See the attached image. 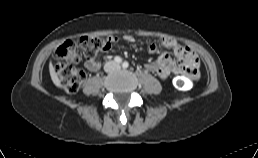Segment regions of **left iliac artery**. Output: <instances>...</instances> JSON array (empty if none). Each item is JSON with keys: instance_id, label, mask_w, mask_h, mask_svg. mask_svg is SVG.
<instances>
[{"instance_id": "44dca946", "label": "left iliac artery", "mask_w": 258, "mask_h": 158, "mask_svg": "<svg viewBox=\"0 0 258 158\" xmlns=\"http://www.w3.org/2000/svg\"><path fill=\"white\" fill-rule=\"evenodd\" d=\"M128 66H129L128 62H126V61L123 62V64H122V67H123V68H127Z\"/></svg>"}]
</instances>
